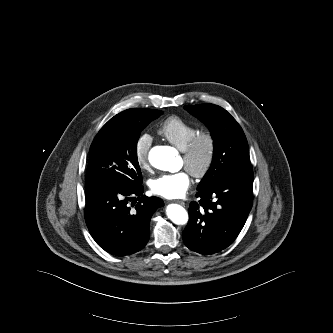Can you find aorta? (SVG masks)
<instances>
[{
    "label": "aorta",
    "instance_id": "762f6f07",
    "mask_svg": "<svg viewBox=\"0 0 333 333\" xmlns=\"http://www.w3.org/2000/svg\"><path fill=\"white\" fill-rule=\"evenodd\" d=\"M149 162L159 170L176 171L178 162L177 151L168 146H155L149 152ZM166 214L177 225H184L188 222V213L181 205H168Z\"/></svg>",
    "mask_w": 333,
    "mask_h": 333
}]
</instances>
